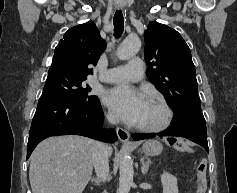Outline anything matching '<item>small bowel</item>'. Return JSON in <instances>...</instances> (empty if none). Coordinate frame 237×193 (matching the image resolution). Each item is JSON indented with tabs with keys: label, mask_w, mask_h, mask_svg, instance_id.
Returning a JSON list of instances; mask_svg holds the SVG:
<instances>
[{
	"label": "small bowel",
	"mask_w": 237,
	"mask_h": 193,
	"mask_svg": "<svg viewBox=\"0 0 237 193\" xmlns=\"http://www.w3.org/2000/svg\"><path fill=\"white\" fill-rule=\"evenodd\" d=\"M196 184H197V185H199V182H198V180L196 181Z\"/></svg>",
	"instance_id": "obj_1"
}]
</instances>
